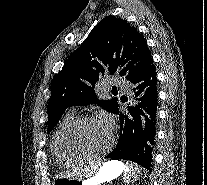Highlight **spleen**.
Returning a JSON list of instances; mask_svg holds the SVG:
<instances>
[{"instance_id": "spleen-1", "label": "spleen", "mask_w": 207, "mask_h": 185, "mask_svg": "<svg viewBox=\"0 0 207 185\" xmlns=\"http://www.w3.org/2000/svg\"><path fill=\"white\" fill-rule=\"evenodd\" d=\"M126 171L124 183H133V179L136 177H147V172H144V167L138 166V162H125Z\"/></svg>"}]
</instances>
